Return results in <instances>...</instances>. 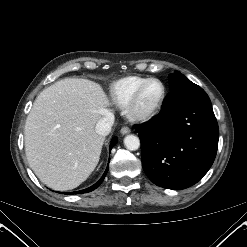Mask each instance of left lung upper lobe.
I'll return each instance as SVG.
<instances>
[{
    "instance_id": "obj_1",
    "label": "left lung upper lobe",
    "mask_w": 247,
    "mask_h": 247,
    "mask_svg": "<svg viewBox=\"0 0 247 247\" xmlns=\"http://www.w3.org/2000/svg\"><path fill=\"white\" fill-rule=\"evenodd\" d=\"M169 85L171 91L179 90L183 88H191L196 86V84L191 82L187 77H185L183 74H181L178 71L169 75Z\"/></svg>"
}]
</instances>
